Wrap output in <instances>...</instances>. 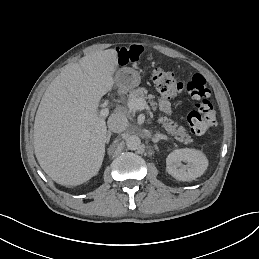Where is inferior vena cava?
Masks as SVG:
<instances>
[{
    "instance_id": "obj_1",
    "label": "inferior vena cava",
    "mask_w": 259,
    "mask_h": 259,
    "mask_svg": "<svg viewBox=\"0 0 259 259\" xmlns=\"http://www.w3.org/2000/svg\"><path fill=\"white\" fill-rule=\"evenodd\" d=\"M107 125L110 131L121 133L126 130L128 120L122 113H114L109 117Z\"/></svg>"
}]
</instances>
